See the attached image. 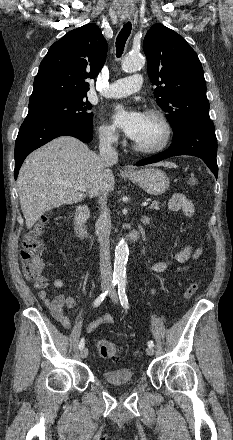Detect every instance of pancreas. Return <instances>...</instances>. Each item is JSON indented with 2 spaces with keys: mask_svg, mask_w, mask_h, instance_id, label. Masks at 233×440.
Wrapping results in <instances>:
<instances>
[{
  "mask_svg": "<svg viewBox=\"0 0 233 440\" xmlns=\"http://www.w3.org/2000/svg\"><path fill=\"white\" fill-rule=\"evenodd\" d=\"M152 210H159L160 209V203L158 201H153L151 205L149 206Z\"/></svg>",
  "mask_w": 233,
  "mask_h": 440,
  "instance_id": "cf45deb5",
  "label": "pancreas"
}]
</instances>
